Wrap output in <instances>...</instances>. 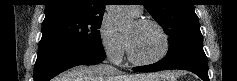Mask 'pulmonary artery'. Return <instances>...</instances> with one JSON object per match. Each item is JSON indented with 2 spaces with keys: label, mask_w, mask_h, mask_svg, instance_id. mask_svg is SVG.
Listing matches in <instances>:
<instances>
[{
  "label": "pulmonary artery",
  "mask_w": 237,
  "mask_h": 81,
  "mask_svg": "<svg viewBox=\"0 0 237 81\" xmlns=\"http://www.w3.org/2000/svg\"><path fill=\"white\" fill-rule=\"evenodd\" d=\"M127 3H129V2H127ZM129 9L132 12V14L135 16H139L142 12L139 6H129Z\"/></svg>",
  "instance_id": "e3ab8cb5"
}]
</instances>
